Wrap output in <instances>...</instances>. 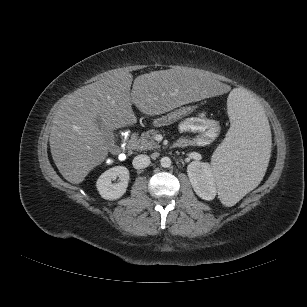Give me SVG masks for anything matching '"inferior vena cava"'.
<instances>
[{
  "mask_svg": "<svg viewBox=\"0 0 307 307\" xmlns=\"http://www.w3.org/2000/svg\"><path fill=\"white\" fill-rule=\"evenodd\" d=\"M150 162L148 155L140 154L134 157L132 164L135 169H143L148 167Z\"/></svg>",
  "mask_w": 307,
  "mask_h": 307,
  "instance_id": "obj_1",
  "label": "inferior vena cava"
}]
</instances>
